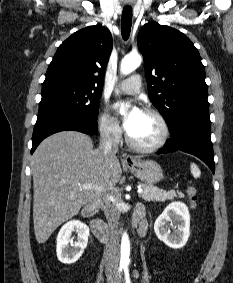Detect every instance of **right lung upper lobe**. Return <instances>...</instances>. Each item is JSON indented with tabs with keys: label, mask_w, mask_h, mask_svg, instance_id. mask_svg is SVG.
<instances>
[{
	"label": "right lung upper lobe",
	"mask_w": 233,
	"mask_h": 283,
	"mask_svg": "<svg viewBox=\"0 0 233 283\" xmlns=\"http://www.w3.org/2000/svg\"><path fill=\"white\" fill-rule=\"evenodd\" d=\"M111 51L112 36L106 27L81 29L58 47L43 83L64 82L101 91Z\"/></svg>",
	"instance_id": "right-lung-upper-lobe-1"
}]
</instances>
